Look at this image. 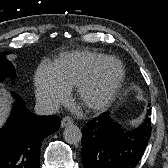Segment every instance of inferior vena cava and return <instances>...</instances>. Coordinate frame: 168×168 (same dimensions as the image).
I'll list each match as a JSON object with an SVG mask.
<instances>
[{"mask_svg":"<svg viewBox=\"0 0 168 168\" xmlns=\"http://www.w3.org/2000/svg\"><path fill=\"white\" fill-rule=\"evenodd\" d=\"M59 110V106L50 101H38L35 105L37 115H53Z\"/></svg>","mask_w":168,"mask_h":168,"instance_id":"inferior-vena-cava-1","label":"inferior vena cava"}]
</instances>
